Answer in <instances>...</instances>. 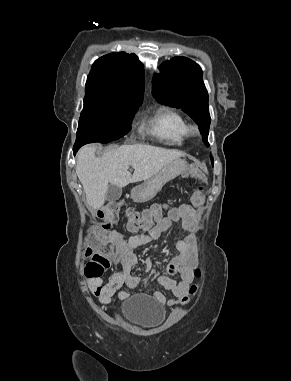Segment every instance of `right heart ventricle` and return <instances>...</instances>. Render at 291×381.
I'll return each mask as SVG.
<instances>
[{
    "label": "right heart ventricle",
    "mask_w": 291,
    "mask_h": 381,
    "mask_svg": "<svg viewBox=\"0 0 291 381\" xmlns=\"http://www.w3.org/2000/svg\"><path fill=\"white\" fill-rule=\"evenodd\" d=\"M151 132L169 144L181 146L190 138V126L176 110L160 108L149 120Z\"/></svg>",
    "instance_id": "e07e8e85"
}]
</instances>
